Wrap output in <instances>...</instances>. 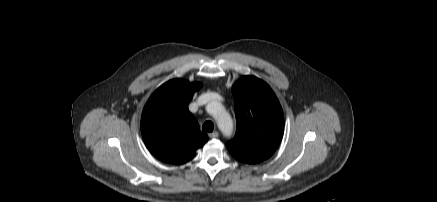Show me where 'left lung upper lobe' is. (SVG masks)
<instances>
[{
	"label": "left lung upper lobe",
	"instance_id": "1",
	"mask_svg": "<svg viewBox=\"0 0 437 202\" xmlns=\"http://www.w3.org/2000/svg\"><path fill=\"white\" fill-rule=\"evenodd\" d=\"M236 134L226 143L230 154L247 163H260L272 156L284 129L281 105L268 84L255 76H243L232 88Z\"/></svg>",
	"mask_w": 437,
	"mask_h": 202
}]
</instances>
